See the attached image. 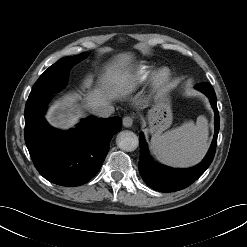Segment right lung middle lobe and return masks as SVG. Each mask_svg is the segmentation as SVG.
Masks as SVG:
<instances>
[{
	"label": "right lung middle lobe",
	"mask_w": 247,
	"mask_h": 247,
	"mask_svg": "<svg viewBox=\"0 0 247 247\" xmlns=\"http://www.w3.org/2000/svg\"><path fill=\"white\" fill-rule=\"evenodd\" d=\"M87 52L77 56L64 57L50 66L36 81L29 95L33 99H42L53 92H59L65 85L68 71L87 56Z\"/></svg>",
	"instance_id": "1"
}]
</instances>
